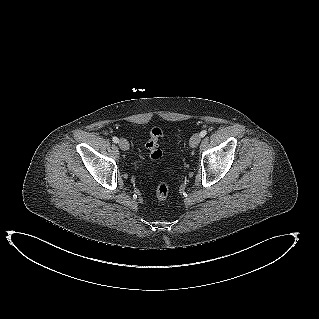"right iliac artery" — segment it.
Returning <instances> with one entry per match:
<instances>
[{"mask_svg": "<svg viewBox=\"0 0 319 319\" xmlns=\"http://www.w3.org/2000/svg\"><path fill=\"white\" fill-rule=\"evenodd\" d=\"M112 140H113L114 143H118L119 142V139L117 137H115V136L112 138Z\"/></svg>", "mask_w": 319, "mask_h": 319, "instance_id": "right-iliac-artery-1", "label": "right iliac artery"}]
</instances>
